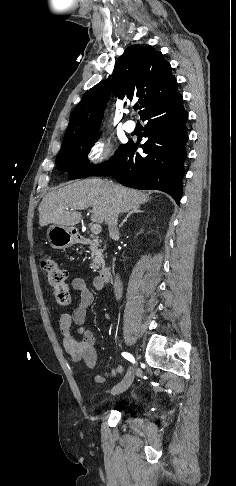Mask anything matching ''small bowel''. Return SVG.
I'll list each match as a JSON object with an SVG mask.
<instances>
[{
    "mask_svg": "<svg viewBox=\"0 0 236 486\" xmlns=\"http://www.w3.org/2000/svg\"><path fill=\"white\" fill-rule=\"evenodd\" d=\"M93 284L95 290H101L103 287L97 282V279L94 280ZM71 288L80 292V302L72 314L66 312H59L58 314V326L63 338V345L73 360L83 361L88 368L93 369L98 363L95 348L96 335L92 330L86 329L83 324L86 320L88 308L93 303L94 293L79 277L72 280ZM123 370L121 364H116L109 372L97 374L96 381L102 382L109 377L120 375Z\"/></svg>",
    "mask_w": 236,
    "mask_h": 486,
    "instance_id": "1",
    "label": "small bowel"
}]
</instances>
